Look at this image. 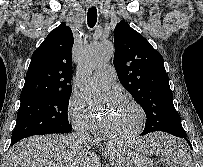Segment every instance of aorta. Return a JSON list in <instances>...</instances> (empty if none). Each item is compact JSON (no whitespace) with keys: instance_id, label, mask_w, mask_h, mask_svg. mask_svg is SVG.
Instances as JSON below:
<instances>
[{"instance_id":"obj_1","label":"aorta","mask_w":203,"mask_h":167,"mask_svg":"<svg viewBox=\"0 0 203 167\" xmlns=\"http://www.w3.org/2000/svg\"><path fill=\"white\" fill-rule=\"evenodd\" d=\"M113 55V44L101 41L90 44L81 56L77 66V85L88 104H94L100 99L98 91L90 85V75L95 69L106 64Z\"/></svg>"}]
</instances>
